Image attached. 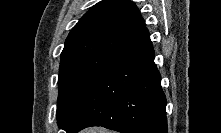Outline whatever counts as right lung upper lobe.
Instances as JSON below:
<instances>
[{"label":"right lung upper lobe","mask_w":221,"mask_h":133,"mask_svg":"<svg viewBox=\"0 0 221 133\" xmlns=\"http://www.w3.org/2000/svg\"><path fill=\"white\" fill-rule=\"evenodd\" d=\"M148 29L129 0H103L94 5L69 33L60 71L108 69L152 49Z\"/></svg>","instance_id":"obj_1"}]
</instances>
